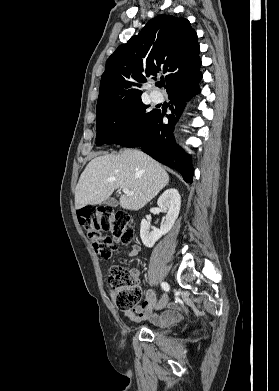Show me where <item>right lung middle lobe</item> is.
<instances>
[{
    "instance_id": "1",
    "label": "right lung middle lobe",
    "mask_w": 279,
    "mask_h": 391,
    "mask_svg": "<svg viewBox=\"0 0 279 391\" xmlns=\"http://www.w3.org/2000/svg\"><path fill=\"white\" fill-rule=\"evenodd\" d=\"M147 107L138 100L97 113L96 144H112L129 130L137 127L154 113L155 110L147 112Z\"/></svg>"
}]
</instances>
